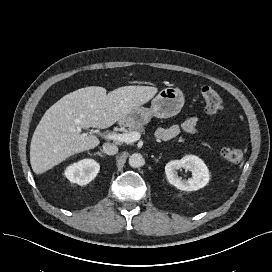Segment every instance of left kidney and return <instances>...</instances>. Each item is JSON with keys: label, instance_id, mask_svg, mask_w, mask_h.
<instances>
[{"label": "left kidney", "instance_id": "1", "mask_svg": "<svg viewBox=\"0 0 272 272\" xmlns=\"http://www.w3.org/2000/svg\"><path fill=\"white\" fill-rule=\"evenodd\" d=\"M184 168L192 172V178L182 179L178 170ZM165 174L168 182L182 191H196L209 182L210 175L206 164L195 155H186L180 160H172L165 166Z\"/></svg>", "mask_w": 272, "mask_h": 272}]
</instances>
